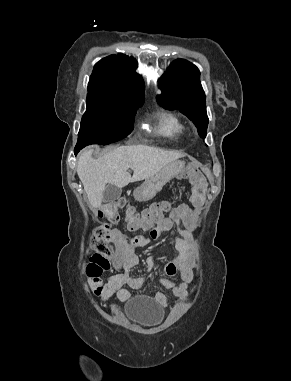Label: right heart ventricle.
<instances>
[{
	"label": "right heart ventricle",
	"instance_id": "obj_1",
	"mask_svg": "<svg viewBox=\"0 0 291 381\" xmlns=\"http://www.w3.org/2000/svg\"><path fill=\"white\" fill-rule=\"evenodd\" d=\"M157 131L172 140L181 139L187 132L184 122L174 113H162L158 117Z\"/></svg>",
	"mask_w": 291,
	"mask_h": 381
}]
</instances>
